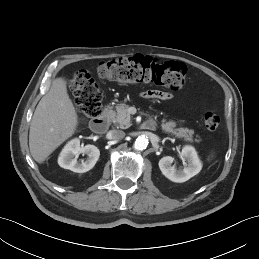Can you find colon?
<instances>
[{"instance_id": "colon-1", "label": "colon", "mask_w": 259, "mask_h": 259, "mask_svg": "<svg viewBox=\"0 0 259 259\" xmlns=\"http://www.w3.org/2000/svg\"><path fill=\"white\" fill-rule=\"evenodd\" d=\"M97 74L102 79L117 83H152L179 90L186 84L187 69L180 62H161L150 56L136 55L102 62L97 67ZM69 88L83 120H90L99 115L102 94L88 71L75 70L69 79ZM203 121L207 130L215 131L219 127L220 116L214 110H207L203 115Z\"/></svg>"}]
</instances>
